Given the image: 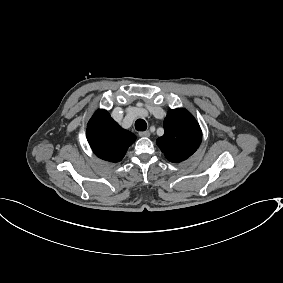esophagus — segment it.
<instances>
[{"mask_svg":"<svg viewBox=\"0 0 283 283\" xmlns=\"http://www.w3.org/2000/svg\"><path fill=\"white\" fill-rule=\"evenodd\" d=\"M139 136L140 137H149L150 136V132L149 131L139 132Z\"/></svg>","mask_w":283,"mask_h":283,"instance_id":"obj_1","label":"esophagus"}]
</instances>
